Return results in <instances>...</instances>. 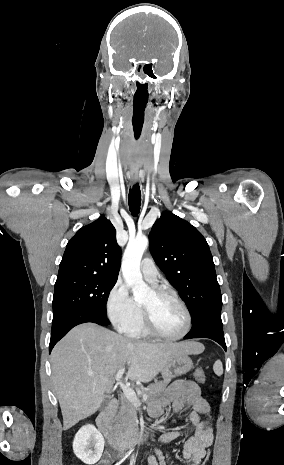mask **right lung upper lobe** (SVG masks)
I'll list each match as a JSON object with an SVG mask.
<instances>
[{"label": "right lung upper lobe", "instance_id": "cb5924a9", "mask_svg": "<svg viewBox=\"0 0 284 465\" xmlns=\"http://www.w3.org/2000/svg\"><path fill=\"white\" fill-rule=\"evenodd\" d=\"M121 249L114 226L105 216L82 227L68 242L57 278L94 276L117 279Z\"/></svg>", "mask_w": 284, "mask_h": 465}]
</instances>
